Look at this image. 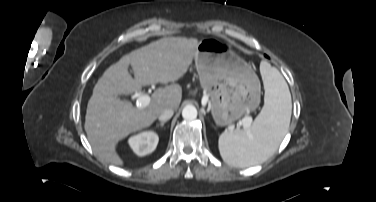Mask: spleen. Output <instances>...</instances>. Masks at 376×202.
<instances>
[{
    "mask_svg": "<svg viewBox=\"0 0 376 202\" xmlns=\"http://www.w3.org/2000/svg\"><path fill=\"white\" fill-rule=\"evenodd\" d=\"M265 88L264 107L253 125L244 130L225 131L218 141L223 160L236 167H249L272 156L286 135L292 111L286 81L267 61L260 63Z\"/></svg>",
    "mask_w": 376,
    "mask_h": 202,
    "instance_id": "obj_1",
    "label": "spleen"
}]
</instances>
